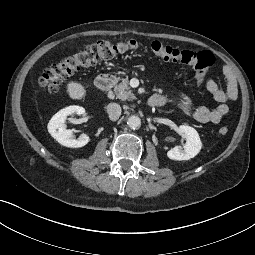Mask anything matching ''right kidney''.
I'll return each instance as SVG.
<instances>
[{
  "instance_id": "obj_1",
  "label": "right kidney",
  "mask_w": 255,
  "mask_h": 255,
  "mask_svg": "<svg viewBox=\"0 0 255 255\" xmlns=\"http://www.w3.org/2000/svg\"><path fill=\"white\" fill-rule=\"evenodd\" d=\"M85 109L80 106H69L57 112L48 123V132L61 145L70 148H80L88 144L89 136L82 134L78 139L72 136V130L66 129L64 126L65 119L68 115L78 114L83 115Z\"/></svg>"
}]
</instances>
